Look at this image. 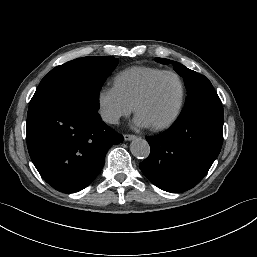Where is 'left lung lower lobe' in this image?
Here are the masks:
<instances>
[{"label": "left lung lower lobe", "instance_id": "left-lung-lower-lobe-1", "mask_svg": "<svg viewBox=\"0 0 257 257\" xmlns=\"http://www.w3.org/2000/svg\"><path fill=\"white\" fill-rule=\"evenodd\" d=\"M221 104L218 99L181 113L169 129L146 137L151 151L139 167L154 185L179 193L202 180L222 146Z\"/></svg>", "mask_w": 257, "mask_h": 257}]
</instances>
